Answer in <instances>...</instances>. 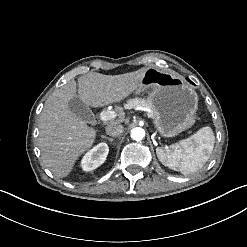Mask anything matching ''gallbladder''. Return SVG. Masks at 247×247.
I'll list each match as a JSON object with an SVG mask.
<instances>
[{
  "mask_svg": "<svg viewBox=\"0 0 247 247\" xmlns=\"http://www.w3.org/2000/svg\"><path fill=\"white\" fill-rule=\"evenodd\" d=\"M68 107L75 115L86 121L93 117L91 109L79 96H73L68 102Z\"/></svg>",
  "mask_w": 247,
  "mask_h": 247,
  "instance_id": "gallbladder-1",
  "label": "gallbladder"
}]
</instances>
